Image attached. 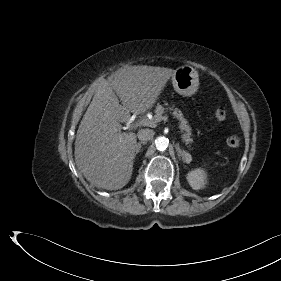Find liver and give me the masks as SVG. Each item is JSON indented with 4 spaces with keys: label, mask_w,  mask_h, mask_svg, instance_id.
<instances>
[{
    "label": "liver",
    "mask_w": 281,
    "mask_h": 281,
    "mask_svg": "<svg viewBox=\"0 0 281 281\" xmlns=\"http://www.w3.org/2000/svg\"><path fill=\"white\" fill-rule=\"evenodd\" d=\"M174 72L128 66L101 80L77 130L74 151L78 169L92 185L118 190L129 182L137 138L133 132H121L120 122L128 121L130 112L151 109Z\"/></svg>",
    "instance_id": "6515ba94"
}]
</instances>
